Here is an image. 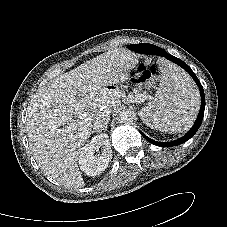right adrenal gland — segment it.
Listing matches in <instances>:
<instances>
[{
  "instance_id": "2a0ac1e0",
  "label": "right adrenal gland",
  "mask_w": 227,
  "mask_h": 227,
  "mask_svg": "<svg viewBox=\"0 0 227 227\" xmlns=\"http://www.w3.org/2000/svg\"><path fill=\"white\" fill-rule=\"evenodd\" d=\"M106 129H107V125L105 126L104 130H106Z\"/></svg>"
}]
</instances>
